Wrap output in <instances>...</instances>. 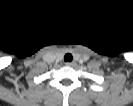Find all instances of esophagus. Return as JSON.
<instances>
[{"mask_svg":"<svg viewBox=\"0 0 133 106\" xmlns=\"http://www.w3.org/2000/svg\"><path fill=\"white\" fill-rule=\"evenodd\" d=\"M67 66H73L75 63L74 62H66L65 63Z\"/></svg>","mask_w":133,"mask_h":106,"instance_id":"1","label":"esophagus"}]
</instances>
